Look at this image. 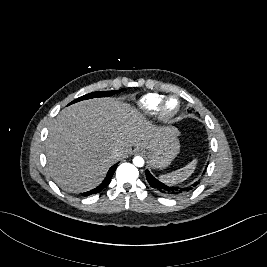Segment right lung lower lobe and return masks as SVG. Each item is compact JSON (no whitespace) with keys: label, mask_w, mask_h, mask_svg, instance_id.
I'll return each instance as SVG.
<instances>
[{"label":"right lung lower lobe","mask_w":267,"mask_h":267,"mask_svg":"<svg viewBox=\"0 0 267 267\" xmlns=\"http://www.w3.org/2000/svg\"><path fill=\"white\" fill-rule=\"evenodd\" d=\"M116 167H117V164L113 165L109 169L104 181L98 187H96V188H94V189H92V190H90L88 192H84L83 196H88V195H91V194H97L100 191H102L109 184L110 180L112 179V176H113V174H114V172L116 170Z\"/></svg>","instance_id":"right-lung-lower-lobe-1"}]
</instances>
